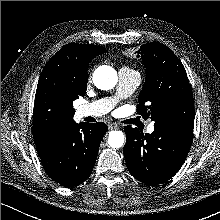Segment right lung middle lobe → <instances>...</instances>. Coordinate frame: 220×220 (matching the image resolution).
Returning <instances> with one entry per match:
<instances>
[{"label": "right lung middle lobe", "instance_id": "1", "mask_svg": "<svg viewBox=\"0 0 220 220\" xmlns=\"http://www.w3.org/2000/svg\"><path fill=\"white\" fill-rule=\"evenodd\" d=\"M86 90L80 94V96H84L85 95ZM76 98H79V95H76Z\"/></svg>", "mask_w": 220, "mask_h": 220}]
</instances>
